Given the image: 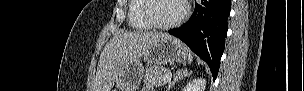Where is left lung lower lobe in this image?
I'll return each instance as SVG.
<instances>
[{"label":"left lung lower lobe","instance_id":"0a47b994","mask_svg":"<svg viewBox=\"0 0 304 91\" xmlns=\"http://www.w3.org/2000/svg\"><path fill=\"white\" fill-rule=\"evenodd\" d=\"M230 10V0H201L187 23L168 31L209 65L214 80L225 47Z\"/></svg>","mask_w":304,"mask_h":91}]
</instances>
